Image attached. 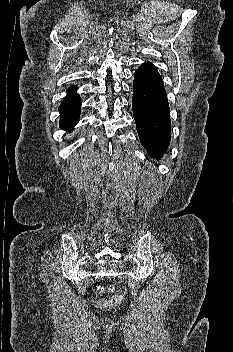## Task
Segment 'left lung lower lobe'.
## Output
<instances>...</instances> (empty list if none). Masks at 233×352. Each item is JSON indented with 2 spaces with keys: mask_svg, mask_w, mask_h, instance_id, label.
<instances>
[{
  "mask_svg": "<svg viewBox=\"0 0 233 352\" xmlns=\"http://www.w3.org/2000/svg\"><path fill=\"white\" fill-rule=\"evenodd\" d=\"M132 108L140 141L148 153L160 159L170 143L171 122L162 77L150 64L134 73Z\"/></svg>",
  "mask_w": 233,
  "mask_h": 352,
  "instance_id": "left-lung-lower-lobe-1",
  "label": "left lung lower lobe"
}]
</instances>
